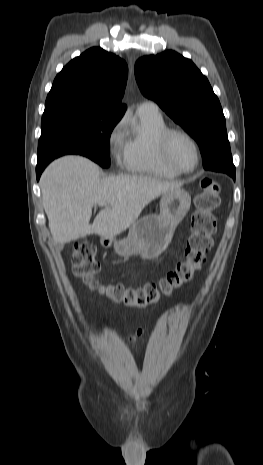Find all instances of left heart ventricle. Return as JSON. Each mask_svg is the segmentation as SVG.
<instances>
[{
    "instance_id": "obj_1",
    "label": "left heart ventricle",
    "mask_w": 263,
    "mask_h": 465,
    "mask_svg": "<svg viewBox=\"0 0 263 465\" xmlns=\"http://www.w3.org/2000/svg\"><path fill=\"white\" fill-rule=\"evenodd\" d=\"M170 157L172 161L183 169H190L196 160L192 143L183 136L176 135L170 142Z\"/></svg>"
}]
</instances>
